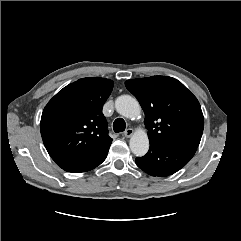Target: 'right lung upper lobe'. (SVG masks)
<instances>
[{"label": "right lung upper lobe", "instance_id": "1", "mask_svg": "<svg viewBox=\"0 0 241 241\" xmlns=\"http://www.w3.org/2000/svg\"><path fill=\"white\" fill-rule=\"evenodd\" d=\"M112 89L110 79L83 78L64 87L48 102L40 130L57 165L89 157L111 144L102 108Z\"/></svg>", "mask_w": 241, "mask_h": 241}]
</instances>
